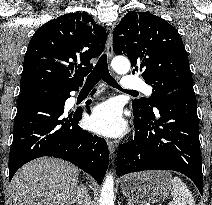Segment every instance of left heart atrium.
Here are the masks:
<instances>
[{
	"instance_id": "39dd6f15",
	"label": "left heart atrium",
	"mask_w": 212,
	"mask_h": 205,
	"mask_svg": "<svg viewBox=\"0 0 212 205\" xmlns=\"http://www.w3.org/2000/svg\"><path fill=\"white\" fill-rule=\"evenodd\" d=\"M89 128L101 135L118 136L125 129L121 108L114 101L95 106L88 119Z\"/></svg>"
}]
</instances>
